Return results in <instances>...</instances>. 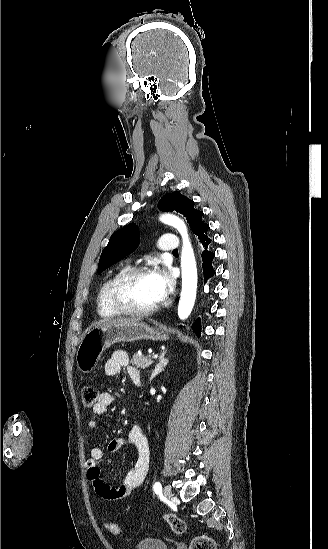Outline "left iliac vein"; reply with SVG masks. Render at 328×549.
Returning <instances> with one entry per match:
<instances>
[{"mask_svg":"<svg viewBox=\"0 0 328 549\" xmlns=\"http://www.w3.org/2000/svg\"><path fill=\"white\" fill-rule=\"evenodd\" d=\"M164 495L168 500L172 499V491H171V488L169 486H166L164 488Z\"/></svg>","mask_w":328,"mask_h":549,"instance_id":"4c4485c4","label":"left iliac vein"}]
</instances>
